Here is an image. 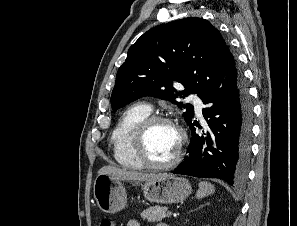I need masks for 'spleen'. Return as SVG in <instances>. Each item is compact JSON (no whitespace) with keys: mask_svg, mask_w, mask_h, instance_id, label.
Masks as SVG:
<instances>
[{"mask_svg":"<svg viewBox=\"0 0 297 226\" xmlns=\"http://www.w3.org/2000/svg\"><path fill=\"white\" fill-rule=\"evenodd\" d=\"M215 192V187L209 182L202 181L199 183V190L197 191L196 197L203 198L211 195Z\"/></svg>","mask_w":297,"mask_h":226,"instance_id":"3e777b00","label":"spleen"}]
</instances>
